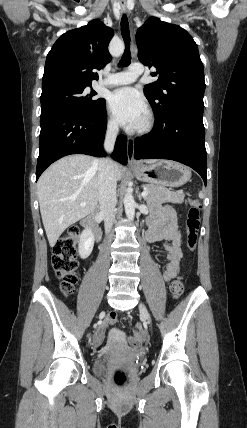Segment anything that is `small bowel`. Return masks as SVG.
Here are the masks:
<instances>
[{
  "label": "small bowel",
  "instance_id": "small-bowel-1",
  "mask_svg": "<svg viewBox=\"0 0 247 428\" xmlns=\"http://www.w3.org/2000/svg\"><path fill=\"white\" fill-rule=\"evenodd\" d=\"M150 242L164 241L167 251V265L163 273L165 281L172 280L178 273L182 259L181 233L177 226L176 214L170 206H154L146 233ZM103 330L95 334V342L101 343Z\"/></svg>",
  "mask_w": 247,
  "mask_h": 428
}]
</instances>
